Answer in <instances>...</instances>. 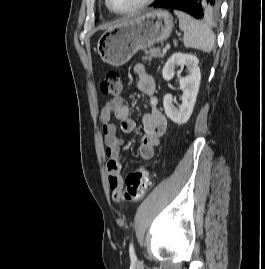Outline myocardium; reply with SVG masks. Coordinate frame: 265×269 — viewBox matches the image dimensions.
I'll list each match as a JSON object with an SVG mask.
<instances>
[{"label": "myocardium", "instance_id": "myocardium-1", "mask_svg": "<svg viewBox=\"0 0 265 269\" xmlns=\"http://www.w3.org/2000/svg\"><path fill=\"white\" fill-rule=\"evenodd\" d=\"M106 1V5L108 7V9L115 13V14H131V13H136L142 9H144L145 7H147L148 5H150L153 1L155 0H142L140 3H138L136 6H134L133 8L127 9V10H116L112 4H111V0H105Z\"/></svg>", "mask_w": 265, "mask_h": 269}]
</instances>
